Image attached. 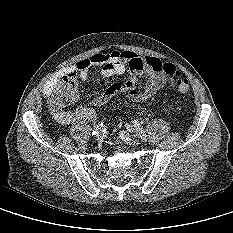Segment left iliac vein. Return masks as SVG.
Segmentation results:
<instances>
[{"label":"left iliac vein","mask_w":233,"mask_h":233,"mask_svg":"<svg viewBox=\"0 0 233 233\" xmlns=\"http://www.w3.org/2000/svg\"><path fill=\"white\" fill-rule=\"evenodd\" d=\"M132 133H133L134 140L137 141L138 138L140 137L139 132L137 130H133ZM119 136L123 141L127 143H130L132 141L131 136L125 131H121Z\"/></svg>","instance_id":"1"}]
</instances>
